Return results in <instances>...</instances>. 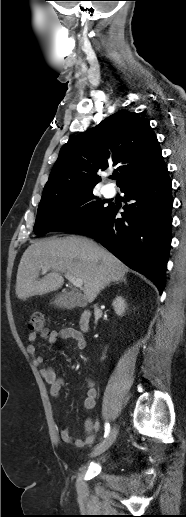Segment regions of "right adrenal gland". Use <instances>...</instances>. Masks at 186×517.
Here are the masks:
<instances>
[{
    "label": "right adrenal gland",
    "instance_id": "obj_1",
    "mask_svg": "<svg viewBox=\"0 0 186 517\" xmlns=\"http://www.w3.org/2000/svg\"><path fill=\"white\" fill-rule=\"evenodd\" d=\"M119 282H124V283H126V278H122V279H120V280L116 281V282H115V284H118Z\"/></svg>",
    "mask_w": 186,
    "mask_h": 517
}]
</instances>
